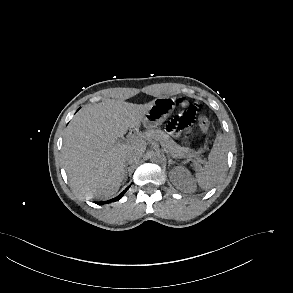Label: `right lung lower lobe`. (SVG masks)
I'll return each instance as SVG.
<instances>
[{"instance_id": "obj_1", "label": "right lung lower lobe", "mask_w": 293, "mask_h": 293, "mask_svg": "<svg viewBox=\"0 0 293 293\" xmlns=\"http://www.w3.org/2000/svg\"><path fill=\"white\" fill-rule=\"evenodd\" d=\"M129 187H127L119 196H117L116 198H113L109 201H104V202H101V204H106V203H110V202H114V201H117L119 200L120 198H122V196L124 195V193L128 190Z\"/></svg>"}]
</instances>
